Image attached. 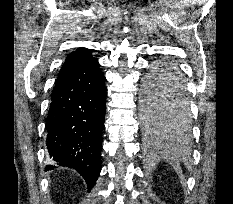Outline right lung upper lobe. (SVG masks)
<instances>
[{"label": "right lung upper lobe", "instance_id": "obj_1", "mask_svg": "<svg viewBox=\"0 0 233 204\" xmlns=\"http://www.w3.org/2000/svg\"><path fill=\"white\" fill-rule=\"evenodd\" d=\"M90 50L88 49H84V48H80L77 49L76 51L70 53L64 64L62 65V68L60 70L59 73V78L63 76V73L65 72V70L67 68H69L70 66L77 64V63H81V64H95L98 63L96 59H94L92 57V55L89 53Z\"/></svg>", "mask_w": 233, "mask_h": 204}]
</instances>
